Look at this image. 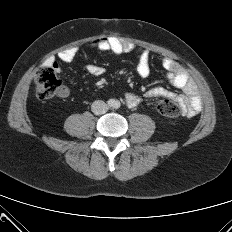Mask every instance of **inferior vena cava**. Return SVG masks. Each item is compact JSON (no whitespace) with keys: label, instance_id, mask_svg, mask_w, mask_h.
<instances>
[{"label":"inferior vena cava","instance_id":"602c4592","mask_svg":"<svg viewBox=\"0 0 232 232\" xmlns=\"http://www.w3.org/2000/svg\"><path fill=\"white\" fill-rule=\"evenodd\" d=\"M91 110L96 115H102L108 111V105L102 100H96L92 103Z\"/></svg>","mask_w":232,"mask_h":232}]
</instances>
